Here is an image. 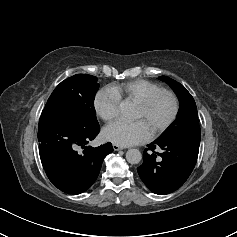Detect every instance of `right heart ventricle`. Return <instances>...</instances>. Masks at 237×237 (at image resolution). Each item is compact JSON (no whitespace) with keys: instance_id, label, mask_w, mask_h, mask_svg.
Returning a JSON list of instances; mask_svg holds the SVG:
<instances>
[{"instance_id":"right-heart-ventricle-1","label":"right heart ventricle","mask_w":237,"mask_h":237,"mask_svg":"<svg viewBox=\"0 0 237 237\" xmlns=\"http://www.w3.org/2000/svg\"><path fill=\"white\" fill-rule=\"evenodd\" d=\"M120 100L139 102L151 94L162 90V87L145 79H135L116 83L109 87Z\"/></svg>"}]
</instances>
